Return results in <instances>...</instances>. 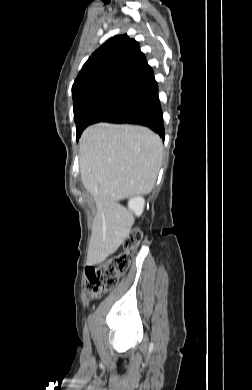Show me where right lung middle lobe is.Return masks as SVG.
Segmentation results:
<instances>
[{
	"label": "right lung middle lobe",
	"mask_w": 252,
	"mask_h": 390,
	"mask_svg": "<svg viewBox=\"0 0 252 390\" xmlns=\"http://www.w3.org/2000/svg\"><path fill=\"white\" fill-rule=\"evenodd\" d=\"M134 102V100L124 98H103L90 101L75 109L74 119L77 141L87 126L106 121L109 117L128 108Z\"/></svg>",
	"instance_id": "dd1d6c3e"
}]
</instances>
